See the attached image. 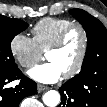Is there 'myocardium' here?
<instances>
[{"mask_svg": "<svg viewBox=\"0 0 107 107\" xmlns=\"http://www.w3.org/2000/svg\"><path fill=\"white\" fill-rule=\"evenodd\" d=\"M75 29L81 33L82 45L75 65L69 71L64 73L66 79H71L78 75L85 63L89 47V36L86 28L80 23L73 22L61 31L54 43L48 48V51L60 49L64 45L70 32Z\"/></svg>", "mask_w": 107, "mask_h": 107, "instance_id": "obj_1", "label": "myocardium"}]
</instances>
